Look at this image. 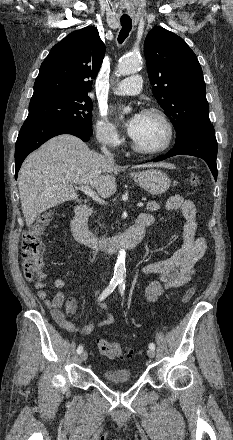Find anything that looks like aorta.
Instances as JSON below:
<instances>
[{"instance_id":"762f6f07","label":"aorta","mask_w":233,"mask_h":440,"mask_svg":"<svg viewBox=\"0 0 233 440\" xmlns=\"http://www.w3.org/2000/svg\"><path fill=\"white\" fill-rule=\"evenodd\" d=\"M141 66V58L138 56H128L121 59V61L118 64V73L120 75H130L139 70ZM130 108H125L124 112H129ZM125 251L121 250L119 251L116 264L114 267V278L118 280H124L125 274H126V268H125Z\"/></svg>"}]
</instances>
